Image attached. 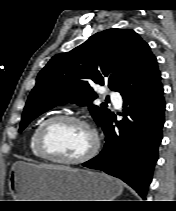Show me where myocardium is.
I'll return each mask as SVG.
<instances>
[{"instance_id": "obj_1", "label": "myocardium", "mask_w": 176, "mask_h": 211, "mask_svg": "<svg viewBox=\"0 0 176 211\" xmlns=\"http://www.w3.org/2000/svg\"><path fill=\"white\" fill-rule=\"evenodd\" d=\"M61 121L74 122L76 124H79L85 127L91 133L92 145L90 149L82 156L77 157V158H72V159L64 158L53 153L47 147L46 142H45V132L51 125L61 122ZM35 142H36V148L38 152L42 156H44L46 159L64 163V164H71V165L84 163L87 160L91 159L98 152L99 147H100V138L96 129L85 119L75 116V115H71V114H57L45 119L37 129Z\"/></svg>"}]
</instances>
